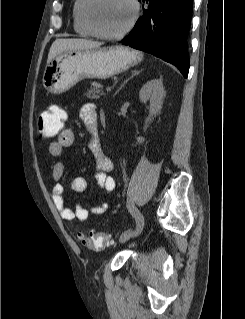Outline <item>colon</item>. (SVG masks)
I'll use <instances>...</instances> for the list:
<instances>
[{
    "label": "colon",
    "instance_id": "1",
    "mask_svg": "<svg viewBox=\"0 0 245 319\" xmlns=\"http://www.w3.org/2000/svg\"><path fill=\"white\" fill-rule=\"evenodd\" d=\"M66 114L59 107L49 108L38 117V129L44 138H53L64 127ZM81 243L90 249H103L111 244L110 237L104 233H79Z\"/></svg>",
    "mask_w": 245,
    "mask_h": 319
}]
</instances>
